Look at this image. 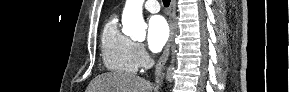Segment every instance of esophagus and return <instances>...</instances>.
Listing matches in <instances>:
<instances>
[{"instance_id":"34e87169","label":"esophagus","mask_w":289,"mask_h":92,"mask_svg":"<svg viewBox=\"0 0 289 92\" xmlns=\"http://www.w3.org/2000/svg\"><path fill=\"white\" fill-rule=\"evenodd\" d=\"M175 7H176V0H171L170 8H169V25H170V35L169 39L167 41V44L164 48V51L158 60L156 66H155V81L156 84H159L160 76L162 73V70L168 60L169 53H170V47L174 39V33H175Z\"/></svg>"}]
</instances>
